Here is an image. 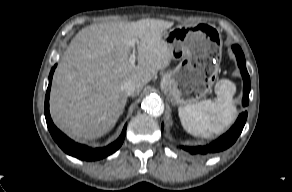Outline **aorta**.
I'll return each instance as SVG.
<instances>
[{"label":"aorta","instance_id":"obj_1","mask_svg":"<svg viewBox=\"0 0 292 192\" xmlns=\"http://www.w3.org/2000/svg\"><path fill=\"white\" fill-rule=\"evenodd\" d=\"M142 109L153 116H160L163 113L161 100L158 96L148 95L141 103Z\"/></svg>","mask_w":292,"mask_h":192}]
</instances>
